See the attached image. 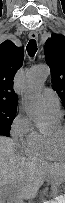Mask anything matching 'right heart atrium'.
Instances as JSON below:
<instances>
[{"instance_id": "right-heart-atrium-1", "label": "right heart atrium", "mask_w": 65, "mask_h": 203, "mask_svg": "<svg viewBox=\"0 0 65 203\" xmlns=\"http://www.w3.org/2000/svg\"><path fill=\"white\" fill-rule=\"evenodd\" d=\"M11 135L17 147L28 150L38 137L32 118L26 113H20L11 126Z\"/></svg>"}]
</instances>
